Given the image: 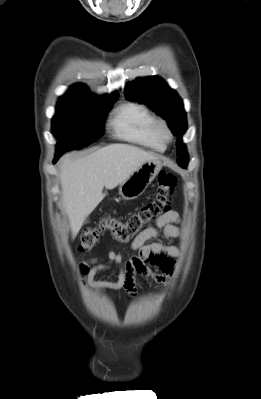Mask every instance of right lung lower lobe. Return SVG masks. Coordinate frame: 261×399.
I'll return each mask as SVG.
<instances>
[{"instance_id":"98d812e1","label":"right lung lower lobe","mask_w":261,"mask_h":399,"mask_svg":"<svg viewBox=\"0 0 261 399\" xmlns=\"http://www.w3.org/2000/svg\"><path fill=\"white\" fill-rule=\"evenodd\" d=\"M62 154H63L62 152H57L53 162L55 163Z\"/></svg>"}]
</instances>
